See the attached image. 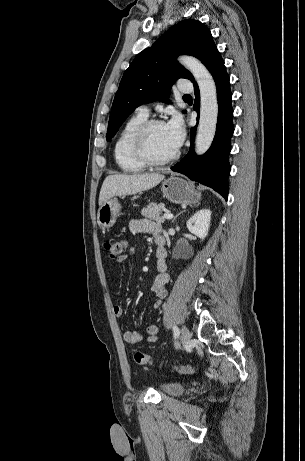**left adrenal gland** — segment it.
Listing matches in <instances>:
<instances>
[{
  "mask_svg": "<svg viewBox=\"0 0 305 461\" xmlns=\"http://www.w3.org/2000/svg\"><path fill=\"white\" fill-rule=\"evenodd\" d=\"M183 212H185V210H184V211H181L179 214H177V215L173 218L172 222H174V221L176 220V218H177L180 214H182Z\"/></svg>",
  "mask_w": 305,
  "mask_h": 461,
  "instance_id": "obj_1",
  "label": "left adrenal gland"
}]
</instances>
